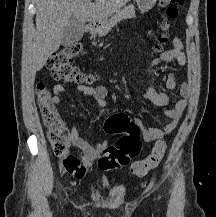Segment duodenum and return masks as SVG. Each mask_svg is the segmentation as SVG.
<instances>
[{
  "instance_id": "obj_1",
  "label": "duodenum",
  "mask_w": 216,
  "mask_h": 217,
  "mask_svg": "<svg viewBox=\"0 0 216 217\" xmlns=\"http://www.w3.org/2000/svg\"><path fill=\"white\" fill-rule=\"evenodd\" d=\"M94 28V24L93 23H89L87 26H86V31L88 32H91Z\"/></svg>"
}]
</instances>
